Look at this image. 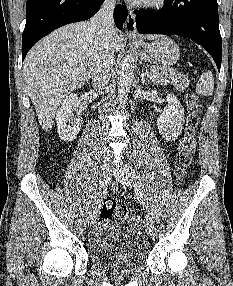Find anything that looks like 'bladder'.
Segmentation results:
<instances>
[{
    "instance_id": "1",
    "label": "bladder",
    "mask_w": 233,
    "mask_h": 286,
    "mask_svg": "<svg viewBox=\"0 0 233 286\" xmlns=\"http://www.w3.org/2000/svg\"><path fill=\"white\" fill-rule=\"evenodd\" d=\"M87 248L92 262L106 270L140 268L150 252L140 232L112 218L100 221L88 239Z\"/></svg>"
}]
</instances>
